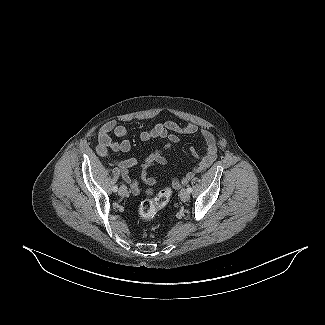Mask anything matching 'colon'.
I'll return each mask as SVG.
<instances>
[{"instance_id":"obj_1","label":"colon","mask_w":325,"mask_h":325,"mask_svg":"<svg viewBox=\"0 0 325 325\" xmlns=\"http://www.w3.org/2000/svg\"><path fill=\"white\" fill-rule=\"evenodd\" d=\"M172 196V187L170 185L162 188L153 198L144 200L139 207V215L142 219H151L163 209Z\"/></svg>"}]
</instances>
